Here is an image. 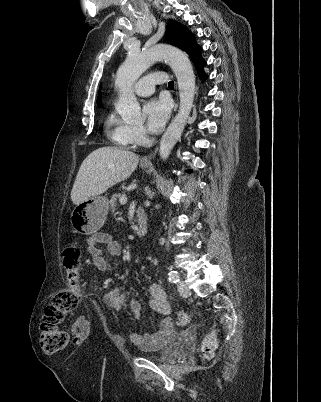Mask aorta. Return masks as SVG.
Here are the masks:
<instances>
[{"instance_id":"aorta-1","label":"aorta","mask_w":321,"mask_h":402,"mask_svg":"<svg viewBox=\"0 0 321 402\" xmlns=\"http://www.w3.org/2000/svg\"><path fill=\"white\" fill-rule=\"evenodd\" d=\"M159 60H165L176 75L180 97L179 111L160 142L159 154L163 160H166L180 139L193 107L195 75L187 55L169 45H156L144 51L130 50L116 74L115 84L119 89L116 109L122 117L129 119L141 117V107L132 87L142 73Z\"/></svg>"}]
</instances>
